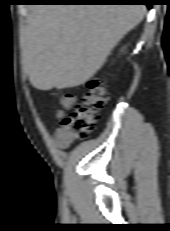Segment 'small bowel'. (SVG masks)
<instances>
[{
	"instance_id": "1",
	"label": "small bowel",
	"mask_w": 170,
	"mask_h": 231,
	"mask_svg": "<svg viewBox=\"0 0 170 231\" xmlns=\"http://www.w3.org/2000/svg\"><path fill=\"white\" fill-rule=\"evenodd\" d=\"M54 140L56 145L61 149H65L69 145V142L65 139V137L62 134L61 127L55 131Z\"/></svg>"
}]
</instances>
